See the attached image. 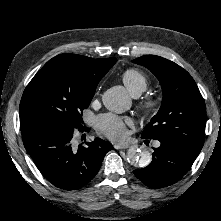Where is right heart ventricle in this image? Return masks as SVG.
I'll list each match as a JSON object with an SVG mask.
<instances>
[{
  "label": "right heart ventricle",
  "mask_w": 221,
  "mask_h": 221,
  "mask_svg": "<svg viewBox=\"0 0 221 221\" xmlns=\"http://www.w3.org/2000/svg\"><path fill=\"white\" fill-rule=\"evenodd\" d=\"M122 81L130 94H141L148 87L145 74L137 69H127L122 74Z\"/></svg>",
  "instance_id": "obj_1"
}]
</instances>
